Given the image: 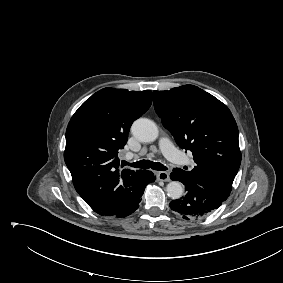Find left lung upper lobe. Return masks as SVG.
<instances>
[{
  "label": "left lung upper lobe",
  "instance_id": "left-lung-upper-lobe-1",
  "mask_svg": "<svg viewBox=\"0 0 283 283\" xmlns=\"http://www.w3.org/2000/svg\"><path fill=\"white\" fill-rule=\"evenodd\" d=\"M153 95L162 124L196 163L191 171L174 170L225 201L241 164L238 128L228 107L194 85Z\"/></svg>",
  "mask_w": 283,
  "mask_h": 283
}]
</instances>
